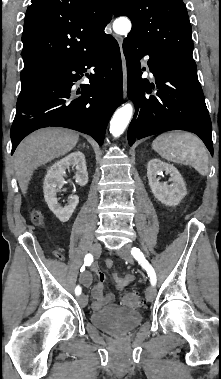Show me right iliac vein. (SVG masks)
I'll return each mask as SVG.
<instances>
[{"mask_svg":"<svg viewBox=\"0 0 221 379\" xmlns=\"http://www.w3.org/2000/svg\"><path fill=\"white\" fill-rule=\"evenodd\" d=\"M101 249H102V248H101L100 243H94V244L91 246L90 251H91V253H92L95 257H97V256L100 255V253H101ZM78 302H79L80 305L85 306V305L87 304V302H88V299H87V297H86L84 294H82L81 296L78 297Z\"/></svg>","mask_w":221,"mask_h":379,"instance_id":"1","label":"right iliac vein"}]
</instances>
